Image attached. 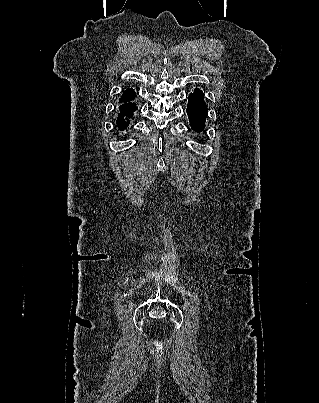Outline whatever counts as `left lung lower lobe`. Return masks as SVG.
Returning <instances> with one entry per match:
<instances>
[{
  "mask_svg": "<svg viewBox=\"0 0 319 403\" xmlns=\"http://www.w3.org/2000/svg\"><path fill=\"white\" fill-rule=\"evenodd\" d=\"M208 111L203 99V92L195 89L194 93L188 97L187 115L191 128L195 132H201L205 128V121Z\"/></svg>",
  "mask_w": 319,
  "mask_h": 403,
  "instance_id": "0a47b994",
  "label": "left lung lower lobe"
}]
</instances>
